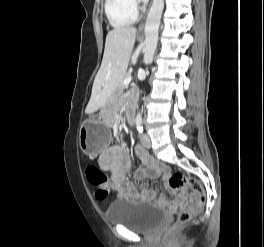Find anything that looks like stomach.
Wrapping results in <instances>:
<instances>
[{
	"mask_svg": "<svg viewBox=\"0 0 264 247\" xmlns=\"http://www.w3.org/2000/svg\"><path fill=\"white\" fill-rule=\"evenodd\" d=\"M110 128L102 117L85 120L79 129V145L83 152L90 155L99 154L109 144Z\"/></svg>",
	"mask_w": 264,
	"mask_h": 247,
	"instance_id": "obj_1",
	"label": "stomach"
}]
</instances>
